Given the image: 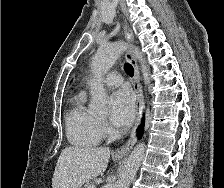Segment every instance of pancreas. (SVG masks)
<instances>
[{"mask_svg":"<svg viewBox=\"0 0 224 188\" xmlns=\"http://www.w3.org/2000/svg\"><path fill=\"white\" fill-rule=\"evenodd\" d=\"M92 186H94V181H90V182H87L83 188H91Z\"/></svg>","mask_w":224,"mask_h":188,"instance_id":"obj_1","label":"pancreas"}]
</instances>
